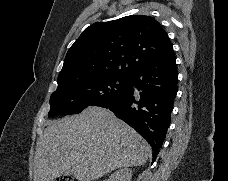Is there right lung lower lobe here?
<instances>
[{
	"instance_id": "98d812e1",
	"label": "right lung lower lobe",
	"mask_w": 228,
	"mask_h": 181,
	"mask_svg": "<svg viewBox=\"0 0 228 181\" xmlns=\"http://www.w3.org/2000/svg\"><path fill=\"white\" fill-rule=\"evenodd\" d=\"M178 72L173 50L148 62L129 78L124 94L102 107L133 127L152 147L153 160L160 152L170 125L177 93Z\"/></svg>"
}]
</instances>
